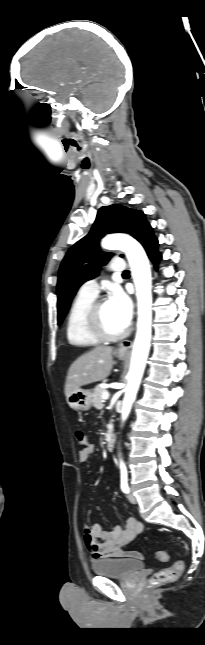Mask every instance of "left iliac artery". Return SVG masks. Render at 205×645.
Listing matches in <instances>:
<instances>
[{
    "label": "left iliac artery",
    "mask_w": 205,
    "mask_h": 645,
    "mask_svg": "<svg viewBox=\"0 0 205 645\" xmlns=\"http://www.w3.org/2000/svg\"><path fill=\"white\" fill-rule=\"evenodd\" d=\"M121 490L124 493H129L127 469L124 465H121Z\"/></svg>",
    "instance_id": "44dca946"
}]
</instances>
